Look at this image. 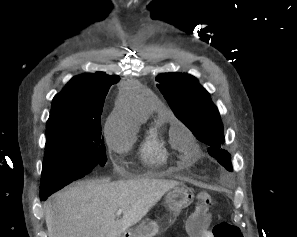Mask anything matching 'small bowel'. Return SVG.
<instances>
[{"instance_id":"c3829d8e","label":"small bowel","mask_w":297,"mask_h":237,"mask_svg":"<svg viewBox=\"0 0 297 237\" xmlns=\"http://www.w3.org/2000/svg\"><path fill=\"white\" fill-rule=\"evenodd\" d=\"M197 237H213V235L209 231H204L203 233H201Z\"/></svg>"}]
</instances>
